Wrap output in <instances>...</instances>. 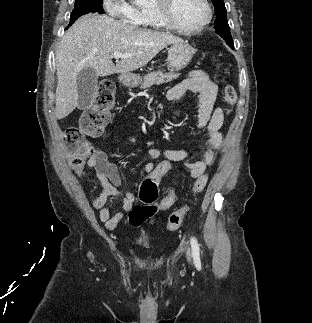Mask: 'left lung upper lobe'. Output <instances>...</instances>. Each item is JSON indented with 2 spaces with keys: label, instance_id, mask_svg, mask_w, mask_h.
Returning <instances> with one entry per match:
<instances>
[{
  "label": "left lung upper lobe",
  "instance_id": "1",
  "mask_svg": "<svg viewBox=\"0 0 312 323\" xmlns=\"http://www.w3.org/2000/svg\"><path fill=\"white\" fill-rule=\"evenodd\" d=\"M215 6L216 21L214 28L216 33L223 37L231 48H234L230 28L227 21V11L223 0H211Z\"/></svg>",
  "mask_w": 312,
  "mask_h": 323
}]
</instances>
